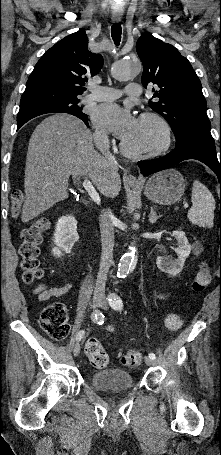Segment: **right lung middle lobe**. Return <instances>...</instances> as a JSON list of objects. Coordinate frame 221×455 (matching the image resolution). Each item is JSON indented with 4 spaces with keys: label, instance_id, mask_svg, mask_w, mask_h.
<instances>
[{
    "label": "right lung middle lobe",
    "instance_id": "right-lung-middle-lobe-1",
    "mask_svg": "<svg viewBox=\"0 0 221 455\" xmlns=\"http://www.w3.org/2000/svg\"><path fill=\"white\" fill-rule=\"evenodd\" d=\"M78 102H79L78 98H70V99H63V100H59V101L44 104V105L20 108L18 116H17V122H19L22 119H25L27 117H31V116H38V115L46 114V113L62 112V113L72 114V115L80 118L81 120H83L84 123L86 125H88V116L81 111L82 107H79L77 105Z\"/></svg>",
    "mask_w": 221,
    "mask_h": 455
}]
</instances>
